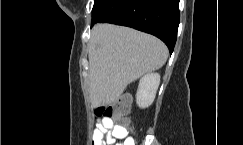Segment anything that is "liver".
<instances>
[{
	"label": "liver",
	"mask_w": 243,
	"mask_h": 145,
	"mask_svg": "<svg viewBox=\"0 0 243 145\" xmlns=\"http://www.w3.org/2000/svg\"><path fill=\"white\" fill-rule=\"evenodd\" d=\"M89 92L93 108L116 101L128 84L160 69L166 45L152 35L111 24H97L89 43Z\"/></svg>",
	"instance_id": "6515ba94"
}]
</instances>
